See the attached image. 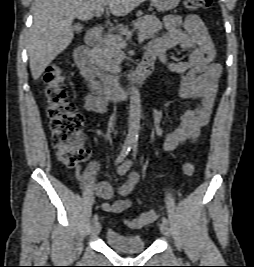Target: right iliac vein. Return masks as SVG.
Returning a JSON list of instances; mask_svg holds the SVG:
<instances>
[{
	"instance_id": "right-iliac-vein-1",
	"label": "right iliac vein",
	"mask_w": 254,
	"mask_h": 267,
	"mask_svg": "<svg viewBox=\"0 0 254 267\" xmlns=\"http://www.w3.org/2000/svg\"><path fill=\"white\" fill-rule=\"evenodd\" d=\"M100 230H101V225H100V223H99V222H95V223L93 224V226H92V234H93V235H97V234H99Z\"/></svg>"
}]
</instances>
